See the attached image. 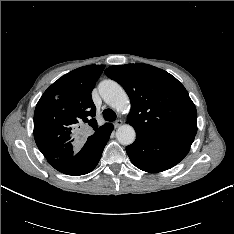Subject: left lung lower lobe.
I'll return each mask as SVG.
<instances>
[{
    "mask_svg": "<svg viewBox=\"0 0 234 234\" xmlns=\"http://www.w3.org/2000/svg\"><path fill=\"white\" fill-rule=\"evenodd\" d=\"M194 136L136 134L126 147L132 163L139 169L157 173L172 168L189 152Z\"/></svg>",
    "mask_w": 234,
    "mask_h": 234,
    "instance_id": "left-lung-lower-lobe-1",
    "label": "left lung lower lobe"
}]
</instances>
